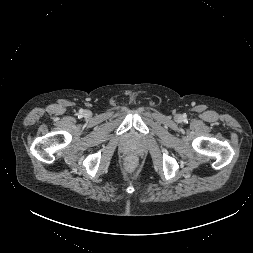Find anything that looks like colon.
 <instances>
[{"mask_svg":"<svg viewBox=\"0 0 253 253\" xmlns=\"http://www.w3.org/2000/svg\"><path fill=\"white\" fill-rule=\"evenodd\" d=\"M135 167V159L133 157H129L126 161V168L128 170H132Z\"/></svg>","mask_w":253,"mask_h":253,"instance_id":"obj_1","label":"colon"}]
</instances>
